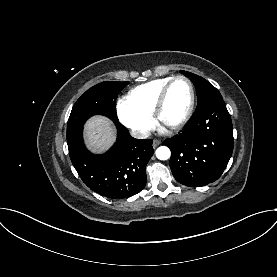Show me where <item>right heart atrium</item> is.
I'll list each match as a JSON object with an SVG mask.
<instances>
[{
	"mask_svg": "<svg viewBox=\"0 0 277 277\" xmlns=\"http://www.w3.org/2000/svg\"><path fill=\"white\" fill-rule=\"evenodd\" d=\"M117 115L120 122L138 138H144L153 124L151 116L137 110L126 98L119 100Z\"/></svg>",
	"mask_w": 277,
	"mask_h": 277,
	"instance_id": "right-heart-atrium-1",
	"label": "right heart atrium"
}]
</instances>
